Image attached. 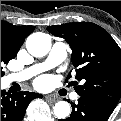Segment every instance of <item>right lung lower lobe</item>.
I'll list each match as a JSON object with an SVG mask.
<instances>
[{
	"label": "right lung lower lobe",
	"instance_id": "right-lung-lower-lobe-1",
	"mask_svg": "<svg viewBox=\"0 0 121 121\" xmlns=\"http://www.w3.org/2000/svg\"><path fill=\"white\" fill-rule=\"evenodd\" d=\"M42 95L33 92L6 93L1 90V121H22L28 104Z\"/></svg>",
	"mask_w": 121,
	"mask_h": 121
}]
</instances>
